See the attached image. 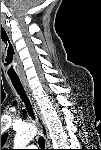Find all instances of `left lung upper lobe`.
I'll return each instance as SVG.
<instances>
[{
  "mask_svg": "<svg viewBox=\"0 0 101 150\" xmlns=\"http://www.w3.org/2000/svg\"><path fill=\"white\" fill-rule=\"evenodd\" d=\"M6 137H7V134H4V135L1 137V145H3V143L5 142Z\"/></svg>",
  "mask_w": 101,
  "mask_h": 150,
  "instance_id": "5c2ea615",
  "label": "left lung upper lobe"
}]
</instances>
